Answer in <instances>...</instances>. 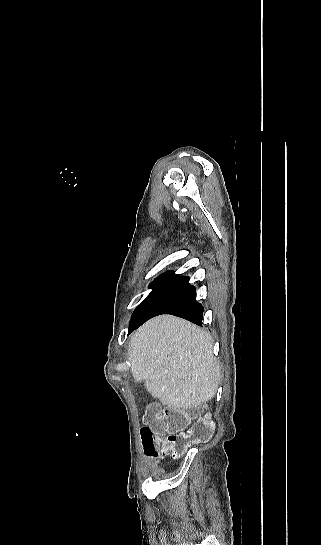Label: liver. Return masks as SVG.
<instances>
[{"label":"liver","mask_w":321,"mask_h":545,"mask_svg":"<svg viewBox=\"0 0 321 545\" xmlns=\"http://www.w3.org/2000/svg\"><path fill=\"white\" fill-rule=\"evenodd\" d=\"M128 359L135 383L145 381L148 393L174 411L211 401L221 379L212 337L171 315L150 319L132 335Z\"/></svg>","instance_id":"1"}]
</instances>
